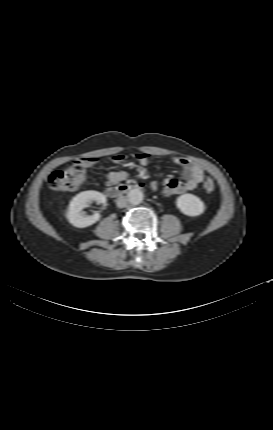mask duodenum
Wrapping results in <instances>:
<instances>
[{
	"label": "duodenum",
	"mask_w": 273,
	"mask_h": 430,
	"mask_svg": "<svg viewBox=\"0 0 273 430\" xmlns=\"http://www.w3.org/2000/svg\"><path fill=\"white\" fill-rule=\"evenodd\" d=\"M136 189H137V185L135 184L122 183L115 186H109L106 192L108 196L112 198H116L124 194H127L131 191H134Z\"/></svg>",
	"instance_id": "410a0bca"
}]
</instances>
